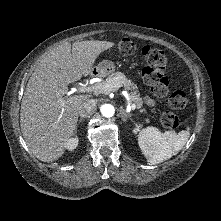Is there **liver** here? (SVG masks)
Segmentation results:
<instances>
[{
  "mask_svg": "<svg viewBox=\"0 0 221 221\" xmlns=\"http://www.w3.org/2000/svg\"><path fill=\"white\" fill-rule=\"evenodd\" d=\"M109 41L65 42L48 51L30 77L20 110L22 135L43 162L63 156L76 130L79 108L89 95H68V84L88 76Z\"/></svg>",
  "mask_w": 221,
  "mask_h": 221,
  "instance_id": "6515ba94",
  "label": "liver"
}]
</instances>
